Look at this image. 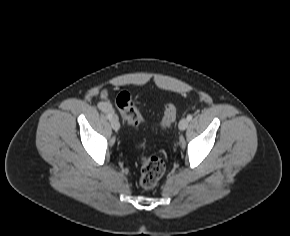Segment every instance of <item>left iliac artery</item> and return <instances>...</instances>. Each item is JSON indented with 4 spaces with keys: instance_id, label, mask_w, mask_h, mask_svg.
Listing matches in <instances>:
<instances>
[{
    "instance_id": "obj_1",
    "label": "left iliac artery",
    "mask_w": 290,
    "mask_h": 236,
    "mask_svg": "<svg viewBox=\"0 0 290 236\" xmlns=\"http://www.w3.org/2000/svg\"><path fill=\"white\" fill-rule=\"evenodd\" d=\"M192 118H193V116H192L191 114H189V115L187 116V120H188V121L192 120Z\"/></svg>"
}]
</instances>
